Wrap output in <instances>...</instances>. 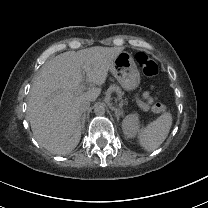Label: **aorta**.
<instances>
[{"label": "aorta", "mask_w": 208, "mask_h": 208, "mask_svg": "<svg viewBox=\"0 0 208 208\" xmlns=\"http://www.w3.org/2000/svg\"><path fill=\"white\" fill-rule=\"evenodd\" d=\"M94 113L98 116L104 115L105 113V106L103 104H96L94 108Z\"/></svg>", "instance_id": "762f6f07"}]
</instances>
